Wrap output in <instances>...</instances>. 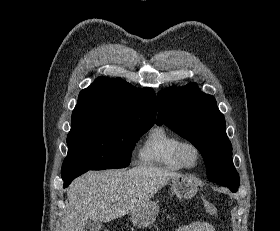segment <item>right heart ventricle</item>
<instances>
[{
  "instance_id": "1",
  "label": "right heart ventricle",
  "mask_w": 280,
  "mask_h": 231,
  "mask_svg": "<svg viewBox=\"0 0 280 231\" xmlns=\"http://www.w3.org/2000/svg\"><path fill=\"white\" fill-rule=\"evenodd\" d=\"M182 139L164 125L152 127L137 150V160L143 166H159L169 171H180L176 150Z\"/></svg>"
}]
</instances>
